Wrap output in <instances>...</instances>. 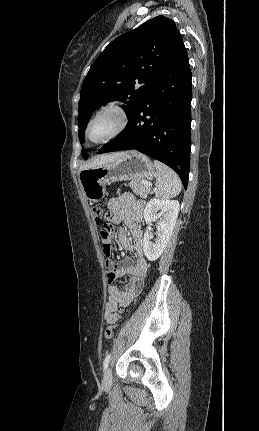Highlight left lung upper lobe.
Returning a JSON list of instances; mask_svg holds the SVG:
<instances>
[{
	"label": "left lung upper lobe",
	"instance_id": "obj_1",
	"mask_svg": "<svg viewBox=\"0 0 259 431\" xmlns=\"http://www.w3.org/2000/svg\"><path fill=\"white\" fill-rule=\"evenodd\" d=\"M182 44L174 21L165 16L154 17L109 43L82 84L78 106L81 144L91 114L101 105L125 102L129 118ZM82 155L88 158L83 150Z\"/></svg>",
	"mask_w": 259,
	"mask_h": 431
}]
</instances>
